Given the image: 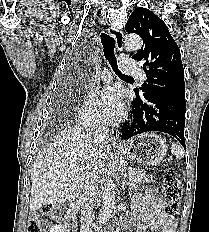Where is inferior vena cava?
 <instances>
[{"label": "inferior vena cava", "mask_w": 209, "mask_h": 232, "mask_svg": "<svg viewBox=\"0 0 209 232\" xmlns=\"http://www.w3.org/2000/svg\"><path fill=\"white\" fill-rule=\"evenodd\" d=\"M107 135L108 133L105 129L96 131L94 139L98 142L95 143V146L100 147L101 142H104V140L107 139ZM101 170L102 167L99 164L93 165L84 181L83 193L79 199L82 214L81 232H90V227L92 225V204L98 195Z\"/></svg>", "instance_id": "1"}]
</instances>
